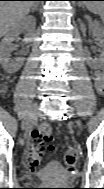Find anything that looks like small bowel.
Segmentation results:
<instances>
[{
	"mask_svg": "<svg viewBox=\"0 0 104 189\" xmlns=\"http://www.w3.org/2000/svg\"><path fill=\"white\" fill-rule=\"evenodd\" d=\"M94 85H95V88L99 91H101L104 87V76H103V73L101 70H97L95 71V74H94ZM33 133V132H32ZM32 133L30 132V135L32 136ZM33 138V137H32ZM33 142V140H32ZM32 144V143H31ZM30 147V146H29ZM28 147V148H29Z\"/></svg>",
	"mask_w": 104,
	"mask_h": 189,
	"instance_id": "obj_1",
	"label": "small bowel"
}]
</instances>
